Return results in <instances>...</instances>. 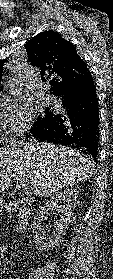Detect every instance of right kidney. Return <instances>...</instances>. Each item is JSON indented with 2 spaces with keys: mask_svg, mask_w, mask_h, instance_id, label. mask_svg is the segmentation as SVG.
Here are the masks:
<instances>
[{
  "mask_svg": "<svg viewBox=\"0 0 113 279\" xmlns=\"http://www.w3.org/2000/svg\"><path fill=\"white\" fill-rule=\"evenodd\" d=\"M77 198V191L67 189L63 192H58L51 196L50 202H46L44 206L39 208L38 216L33 223V234L37 244L44 249L55 247L62 239L66 229L71 222L73 210L75 209ZM59 203H63L59 206ZM54 210L60 213V219L55 220L54 228L50 232H45L41 226V220L44 215L49 211Z\"/></svg>",
  "mask_w": 113,
  "mask_h": 279,
  "instance_id": "ca27d5eb",
  "label": "right kidney"
}]
</instances>
